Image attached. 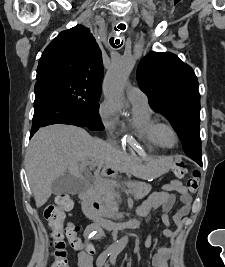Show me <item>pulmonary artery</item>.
I'll return each mask as SVG.
<instances>
[{"label": "pulmonary artery", "mask_w": 225, "mask_h": 267, "mask_svg": "<svg viewBox=\"0 0 225 267\" xmlns=\"http://www.w3.org/2000/svg\"><path fill=\"white\" fill-rule=\"evenodd\" d=\"M128 97L132 100H146V95L136 86L128 88Z\"/></svg>", "instance_id": "1"}]
</instances>
